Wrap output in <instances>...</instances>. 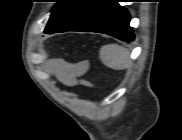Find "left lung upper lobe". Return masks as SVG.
Listing matches in <instances>:
<instances>
[{"mask_svg": "<svg viewBox=\"0 0 182 140\" xmlns=\"http://www.w3.org/2000/svg\"><path fill=\"white\" fill-rule=\"evenodd\" d=\"M107 0H57L44 33L66 32Z\"/></svg>", "mask_w": 182, "mask_h": 140, "instance_id": "left-lung-upper-lobe-1", "label": "left lung upper lobe"}]
</instances>
